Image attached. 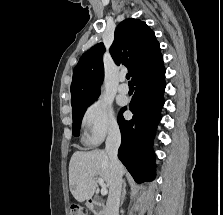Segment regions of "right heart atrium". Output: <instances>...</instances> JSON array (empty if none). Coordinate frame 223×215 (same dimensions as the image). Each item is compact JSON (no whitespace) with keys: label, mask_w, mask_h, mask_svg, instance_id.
Returning a JSON list of instances; mask_svg holds the SVG:
<instances>
[{"label":"right heart atrium","mask_w":223,"mask_h":215,"mask_svg":"<svg viewBox=\"0 0 223 215\" xmlns=\"http://www.w3.org/2000/svg\"><path fill=\"white\" fill-rule=\"evenodd\" d=\"M82 127L90 142L101 141L107 134L117 132L118 125L112 106L102 99L94 100L84 111Z\"/></svg>","instance_id":"1"}]
</instances>
